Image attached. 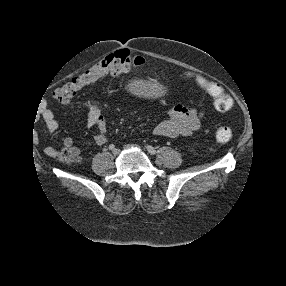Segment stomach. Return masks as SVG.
<instances>
[{
	"mask_svg": "<svg viewBox=\"0 0 286 286\" xmlns=\"http://www.w3.org/2000/svg\"><path fill=\"white\" fill-rule=\"evenodd\" d=\"M128 96L136 101L146 100L148 103L158 105L163 103L168 95L166 85L158 80L149 81L142 76L131 78L126 86Z\"/></svg>",
	"mask_w": 286,
	"mask_h": 286,
	"instance_id": "obj_1",
	"label": "stomach"
}]
</instances>
